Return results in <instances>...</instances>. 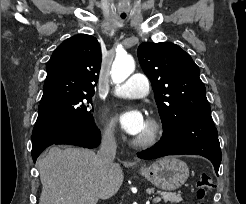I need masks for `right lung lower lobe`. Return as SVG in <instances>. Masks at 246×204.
<instances>
[{"instance_id": "obj_1", "label": "right lung lower lobe", "mask_w": 246, "mask_h": 204, "mask_svg": "<svg viewBox=\"0 0 246 204\" xmlns=\"http://www.w3.org/2000/svg\"><path fill=\"white\" fill-rule=\"evenodd\" d=\"M100 138V131L93 122L86 125L36 122L32 133V158L35 162L41 152L53 144H71L94 148L99 145Z\"/></svg>"}]
</instances>
